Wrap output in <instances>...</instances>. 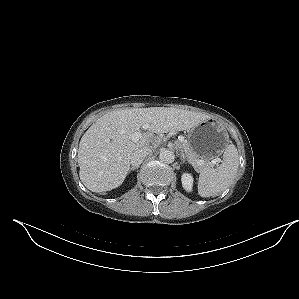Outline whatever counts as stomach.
Listing matches in <instances>:
<instances>
[{
    "label": "stomach",
    "mask_w": 299,
    "mask_h": 299,
    "mask_svg": "<svg viewBox=\"0 0 299 299\" xmlns=\"http://www.w3.org/2000/svg\"><path fill=\"white\" fill-rule=\"evenodd\" d=\"M187 138L192 149L207 161L219 157L230 142L225 128L213 118L189 129Z\"/></svg>",
    "instance_id": "0dacf381"
}]
</instances>
